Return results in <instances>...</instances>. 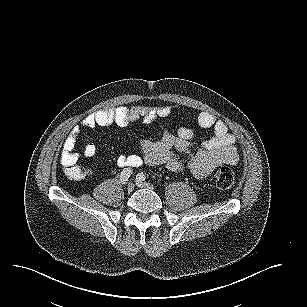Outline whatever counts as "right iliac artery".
I'll use <instances>...</instances> for the list:
<instances>
[{"mask_svg":"<svg viewBox=\"0 0 307 307\" xmlns=\"http://www.w3.org/2000/svg\"><path fill=\"white\" fill-rule=\"evenodd\" d=\"M131 174H132L131 169H128V168L124 169L120 175L121 184H125L126 181H128V178L131 176Z\"/></svg>","mask_w":307,"mask_h":307,"instance_id":"right-iliac-artery-1","label":"right iliac artery"}]
</instances>
